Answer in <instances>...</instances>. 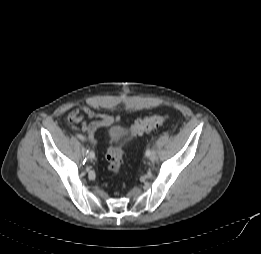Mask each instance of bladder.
Returning a JSON list of instances; mask_svg holds the SVG:
<instances>
[{
  "label": "bladder",
  "instance_id": "31cf9c89",
  "mask_svg": "<svg viewBox=\"0 0 261 254\" xmlns=\"http://www.w3.org/2000/svg\"><path fill=\"white\" fill-rule=\"evenodd\" d=\"M123 130L122 126L115 125L109 128L108 130V139L111 142H114L120 138L121 132Z\"/></svg>",
  "mask_w": 261,
  "mask_h": 254
}]
</instances>
